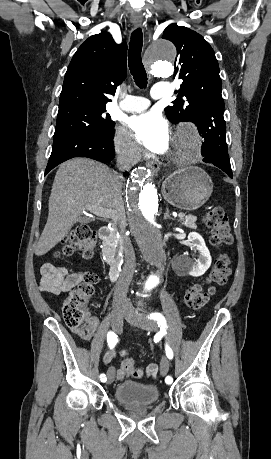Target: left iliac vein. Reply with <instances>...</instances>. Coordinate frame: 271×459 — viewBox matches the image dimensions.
Returning a JSON list of instances; mask_svg holds the SVG:
<instances>
[{
    "label": "left iliac vein",
    "instance_id": "left-iliac-vein-1",
    "mask_svg": "<svg viewBox=\"0 0 271 459\" xmlns=\"http://www.w3.org/2000/svg\"><path fill=\"white\" fill-rule=\"evenodd\" d=\"M125 316L128 322L140 326L147 331H155L157 329L156 321L147 319L145 314L136 313L133 309L126 312ZM168 368V361L166 358H163L160 363V372L163 376L168 373Z\"/></svg>",
    "mask_w": 271,
    "mask_h": 459
}]
</instances>
